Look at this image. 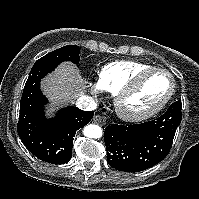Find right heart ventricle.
Wrapping results in <instances>:
<instances>
[{
    "mask_svg": "<svg viewBox=\"0 0 199 199\" xmlns=\"http://www.w3.org/2000/svg\"><path fill=\"white\" fill-rule=\"evenodd\" d=\"M150 67L152 66L138 61L111 62L98 72V83L104 91L114 95L134 74Z\"/></svg>",
    "mask_w": 199,
    "mask_h": 199,
    "instance_id": "e07e8e85",
    "label": "right heart ventricle"
}]
</instances>
